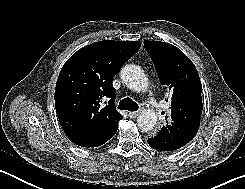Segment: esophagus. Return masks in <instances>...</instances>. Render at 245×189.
Returning <instances> with one entry per match:
<instances>
[{
	"mask_svg": "<svg viewBox=\"0 0 245 189\" xmlns=\"http://www.w3.org/2000/svg\"><path fill=\"white\" fill-rule=\"evenodd\" d=\"M128 115H129L131 118H136V117L139 115V112H138V111L129 112Z\"/></svg>",
	"mask_w": 245,
	"mask_h": 189,
	"instance_id": "esophagus-1",
	"label": "esophagus"
}]
</instances>
